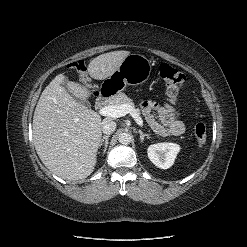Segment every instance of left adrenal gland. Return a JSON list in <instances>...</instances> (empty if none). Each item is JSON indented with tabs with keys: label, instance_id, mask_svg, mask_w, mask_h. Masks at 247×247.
Returning <instances> with one entry per match:
<instances>
[{
	"label": "left adrenal gland",
	"instance_id": "1",
	"mask_svg": "<svg viewBox=\"0 0 247 247\" xmlns=\"http://www.w3.org/2000/svg\"><path fill=\"white\" fill-rule=\"evenodd\" d=\"M139 134L141 143H143L145 137L149 138V134H144L141 130H139Z\"/></svg>",
	"mask_w": 247,
	"mask_h": 247
}]
</instances>
